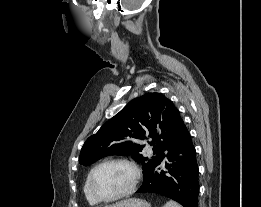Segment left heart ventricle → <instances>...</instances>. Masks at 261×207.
I'll list each match as a JSON object with an SVG mask.
<instances>
[{
  "label": "left heart ventricle",
  "instance_id": "left-heart-ventricle-1",
  "mask_svg": "<svg viewBox=\"0 0 261 207\" xmlns=\"http://www.w3.org/2000/svg\"><path fill=\"white\" fill-rule=\"evenodd\" d=\"M132 180L133 172L128 166L109 164L97 172L95 189L102 197H112L128 189Z\"/></svg>",
  "mask_w": 261,
  "mask_h": 207
}]
</instances>
